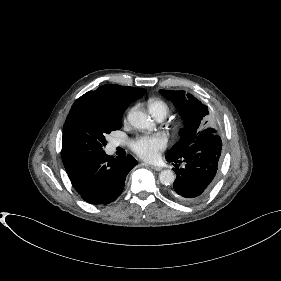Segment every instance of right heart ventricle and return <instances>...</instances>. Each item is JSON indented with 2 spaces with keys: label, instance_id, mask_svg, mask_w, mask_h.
Here are the masks:
<instances>
[{
  "label": "right heart ventricle",
  "instance_id": "1",
  "mask_svg": "<svg viewBox=\"0 0 281 281\" xmlns=\"http://www.w3.org/2000/svg\"><path fill=\"white\" fill-rule=\"evenodd\" d=\"M149 112L157 119H164L170 112L168 104L158 98H151L147 102Z\"/></svg>",
  "mask_w": 281,
  "mask_h": 281
}]
</instances>
